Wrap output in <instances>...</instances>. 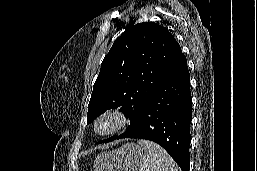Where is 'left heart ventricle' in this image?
I'll list each match as a JSON object with an SVG mask.
<instances>
[{
  "instance_id": "left-heart-ventricle-1",
  "label": "left heart ventricle",
  "mask_w": 257,
  "mask_h": 171,
  "mask_svg": "<svg viewBox=\"0 0 257 171\" xmlns=\"http://www.w3.org/2000/svg\"><path fill=\"white\" fill-rule=\"evenodd\" d=\"M109 126H110V122H104L101 124L100 128L102 130H105V129L109 128Z\"/></svg>"
}]
</instances>
